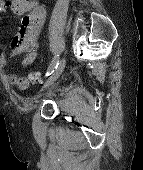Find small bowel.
Returning a JSON list of instances; mask_svg holds the SVG:
<instances>
[{"label":"small bowel","instance_id":"1","mask_svg":"<svg viewBox=\"0 0 143 170\" xmlns=\"http://www.w3.org/2000/svg\"><path fill=\"white\" fill-rule=\"evenodd\" d=\"M0 13H11L22 17L18 30L11 41V57L23 55L22 66H30L37 58V37L46 19V7L38 4L36 0H4L0 1ZM8 61V58L0 53V69L5 68ZM5 79L10 85L20 89L28 87V80L15 73L5 74Z\"/></svg>","mask_w":143,"mask_h":170}]
</instances>
